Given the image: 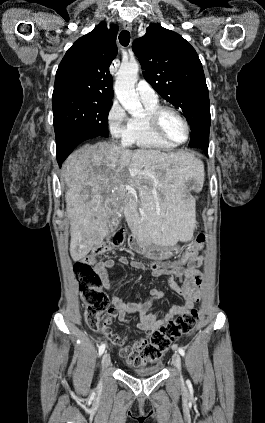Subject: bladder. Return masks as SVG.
<instances>
[{
	"label": "bladder",
	"mask_w": 265,
	"mask_h": 423,
	"mask_svg": "<svg viewBox=\"0 0 265 423\" xmlns=\"http://www.w3.org/2000/svg\"><path fill=\"white\" fill-rule=\"evenodd\" d=\"M161 368H162L161 364H157L155 366L147 367V368H131L129 370V373L135 376L147 377V376H153L158 374L161 371Z\"/></svg>",
	"instance_id": "1"
}]
</instances>
